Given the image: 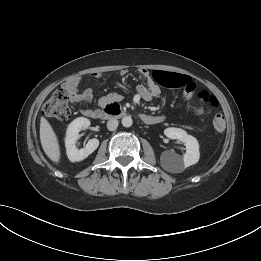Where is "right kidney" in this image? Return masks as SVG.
<instances>
[{"label": "right kidney", "instance_id": "obj_1", "mask_svg": "<svg viewBox=\"0 0 261 261\" xmlns=\"http://www.w3.org/2000/svg\"><path fill=\"white\" fill-rule=\"evenodd\" d=\"M89 126V119L84 117L76 118L69 124L66 132L65 146L68 159L71 162L84 160L98 148L99 140L95 138L90 139L84 148L78 150L76 147L79 132L87 129Z\"/></svg>", "mask_w": 261, "mask_h": 261}]
</instances>
